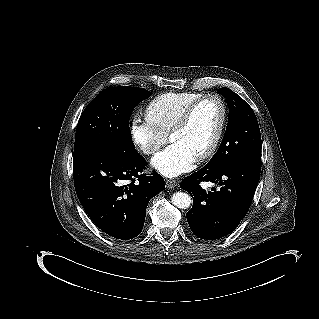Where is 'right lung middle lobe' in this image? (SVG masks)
<instances>
[{
	"instance_id": "right-lung-middle-lobe-1",
	"label": "right lung middle lobe",
	"mask_w": 319,
	"mask_h": 319,
	"mask_svg": "<svg viewBox=\"0 0 319 319\" xmlns=\"http://www.w3.org/2000/svg\"><path fill=\"white\" fill-rule=\"evenodd\" d=\"M151 96L136 87H108L102 90L80 116L74 151L94 146H117L135 150L129 128L133 109Z\"/></svg>"
}]
</instances>
